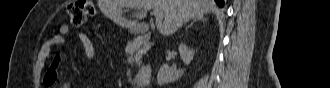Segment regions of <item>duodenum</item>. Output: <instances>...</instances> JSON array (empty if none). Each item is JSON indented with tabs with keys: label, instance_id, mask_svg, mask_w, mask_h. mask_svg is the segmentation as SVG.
<instances>
[{
	"label": "duodenum",
	"instance_id": "410a0bca",
	"mask_svg": "<svg viewBox=\"0 0 330 88\" xmlns=\"http://www.w3.org/2000/svg\"><path fill=\"white\" fill-rule=\"evenodd\" d=\"M147 40H148V31L138 30L137 33H136L135 38L129 44V49H135L138 46H140L141 44L145 43ZM148 71H150L149 66H147L143 69V73L141 74V76L147 75Z\"/></svg>",
	"mask_w": 330,
	"mask_h": 88
}]
</instances>
